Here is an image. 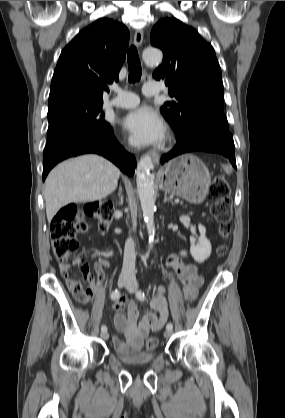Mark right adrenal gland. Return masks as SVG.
Returning a JSON list of instances; mask_svg holds the SVG:
<instances>
[{"label": "right adrenal gland", "instance_id": "2a0ac1e0", "mask_svg": "<svg viewBox=\"0 0 285 418\" xmlns=\"http://www.w3.org/2000/svg\"><path fill=\"white\" fill-rule=\"evenodd\" d=\"M120 192H121V188H120ZM122 203H123V196L120 194V199H119V202H118V201H116V205H117V204L121 205Z\"/></svg>", "mask_w": 285, "mask_h": 418}]
</instances>
